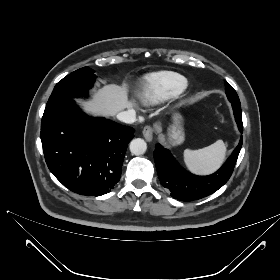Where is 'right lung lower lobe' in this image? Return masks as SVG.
<instances>
[{
    "label": "right lung lower lobe",
    "instance_id": "obj_1",
    "mask_svg": "<svg viewBox=\"0 0 280 280\" xmlns=\"http://www.w3.org/2000/svg\"><path fill=\"white\" fill-rule=\"evenodd\" d=\"M134 129L104 118H90L73 100L46 107L41 141L48 168L69 190L101 196L118 183Z\"/></svg>",
    "mask_w": 280,
    "mask_h": 280
}]
</instances>
